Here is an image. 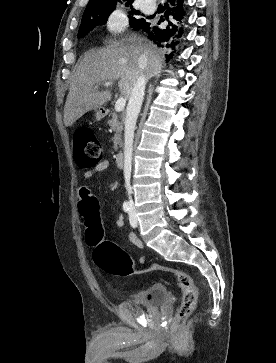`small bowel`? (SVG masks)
I'll list each match as a JSON object with an SVG mask.
<instances>
[{"instance_id":"obj_1","label":"small bowel","mask_w":276,"mask_h":363,"mask_svg":"<svg viewBox=\"0 0 276 363\" xmlns=\"http://www.w3.org/2000/svg\"><path fill=\"white\" fill-rule=\"evenodd\" d=\"M109 164H110L109 160H107V159L102 160L97 165H95L92 169H89L85 172V178L90 179V178L95 177L97 174H99L100 172L107 169L109 167ZM79 195H80L79 211H80V214L84 217L85 223L89 227V225H88L89 218L92 214L98 213V204H97L94 194L86 186H82L80 188ZM115 222H116L117 226H122L123 225L122 216L118 215L116 217ZM130 240L135 246H137L139 248L143 247V242L139 238H137L134 234L130 235ZM139 261L141 264H144L145 257L142 256Z\"/></svg>"}]
</instances>
